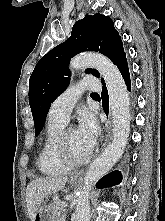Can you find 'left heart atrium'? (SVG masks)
<instances>
[{
	"label": "left heart atrium",
	"instance_id": "obj_1",
	"mask_svg": "<svg viewBox=\"0 0 165 221\" xmlns=\"http://www.w3.org/2000/svg\"><path fill=\"white\" fill-rule=\"evenodd\" d=\"M78 134L84 142L92 148L99 134V128L94 116L88 112H84L79 119L77 127Z\"/></svg>",
	"mask_w": 165,
	"mask_h": 221
}]
</instances>
